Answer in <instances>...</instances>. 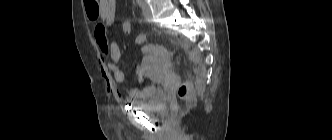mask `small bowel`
I'll list each match as a JSON object with an SVG mask.
<instances>
[{
	"mask_svg": "<svg viewBox=\"0 0 332 140\" xmlns=\"http://www.w3.org/2000/svg\"><path fill=\"white\" fill-rule=\"evenodd\" d=\"M100 9L97 18L100 21L95 25L94 38L100 51V66L101 74L106 82L108 91L119 95L118 90L115 88V84H122L125 81V74L119 67V60L121 58V50L114 39L111 29L114 24L115 12H116V0H99ZM135 44L140 46V51L143 54L148 53L151 50V46L145 44L146 35L138 34L135 37ZM107 58V61L104 59ZM139 83H143L142 73H139ZM148 86H141L140 88H133L129 91L128 96L130 99L140 98L146 94Z\"/></svg>",
	"mask_w": 332,
	"mask_h": 140,
	"instance_id": "obj_1",
	"label": "small bowel"
}]
</instances>
